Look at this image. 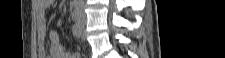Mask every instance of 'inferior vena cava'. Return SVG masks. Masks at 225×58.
Wrapping results in <instances>:
<instances>
[{
	"mask_svg": "<svg viewBox=\"0 0 225 58\" xmlns=\"http://www.w3.org/2000/svg\"><path fill=\"white\" fill-rule=\"evenodd\" d=\"M77 4H78L77 15L84 20L85 19V14H84V10H83V0H78Z\"/></svg>",
	"mask_w": 225,
	"mask_h": 58,
	"instance_id": "inferior-vena-cava-1",
	"label": "inferior vena cava"
}]
</instances>
